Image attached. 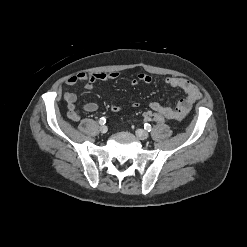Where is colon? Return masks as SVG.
<instances>
[{"label": "colon", "mask_w": 247, "mask_h": 247, "mask_svg": "<svg viewBox=\"0 0 247 247\" xmlns=\"http://www.w3.org/2000/svg\"><path fill=\"white\" fill-rule=\"evenodd\" d=\"M145 119L156 122V123H164L166 121V117L155 111H148L144 114Z\"/></svg>", "instance_id": "5ec220e1"}]
</instances>
